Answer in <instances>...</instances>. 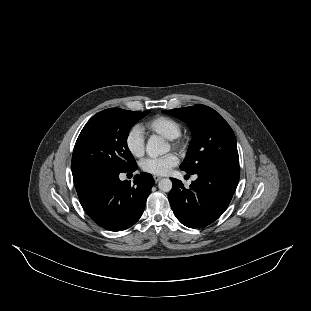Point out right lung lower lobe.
I'll use <instances>...</instances> for the list:
<instances>
[{
    "mask_svg": "<svg viewBox=\"0 0 311 311\" xmlns=\"http://www.w3.org/2000/svg\"><path fill=\"white\" fill-rule=\"evenodd\" d=\"M135 167L127 172H134ZM122 172L89 168L73 174L74 185L86 213L99 226L122 231L141 217L155 181L151 174H136L134 185L121 181Z\"/></svg>",
    "mask_w": 311,
    "mask_h": 311,
    "instance_id": "right-lung-lower-lobe-1",
    "label": "right lung lower lobe"
}]
</instances>
